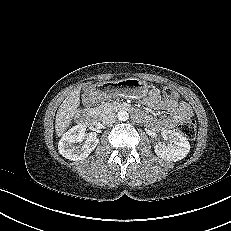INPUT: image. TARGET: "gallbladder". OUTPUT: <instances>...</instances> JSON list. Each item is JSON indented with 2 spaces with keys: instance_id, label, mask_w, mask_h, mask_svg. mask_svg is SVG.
<instances>
[{
  "instance_id": "1",
  "label": "gallbladder",
  "mask_w": 231,
  "mask_h": 231,
  "mask_svg": "<svg viewBox=\"0 0 231 231\" xmlns=\"http://www.w3.org/2000/svg\"><path fill=\"white\" fill-rule=\"evenodd\" d=\"M93 90H94L93 84H85L83 86V91H84L85 94L91 93Z\"/></svg>"
}]
</instances>
